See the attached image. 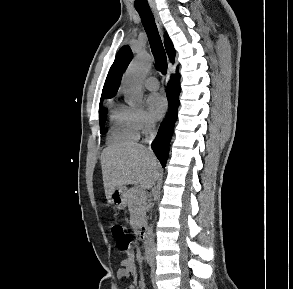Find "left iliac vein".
I'll return each instance as SVG.
<instances>
[{
  "mask_svg": "<svg viewBox=\"0 0 293 289\" xmlns=\"http://www.w3.org/2000/svg\"><path fill=\"white\" fill-rule=\"evenodd\" d=\"M155 268L154 265L152 266V270H151V280H152V284L154 289H157V285H156V279H155Z\"/></svg>",
  "mask_w": 293,
  "mask_h": 289,
  "instance_id": "4c4485c4",
  "label": "left iliac vein"
}]
</instances>
